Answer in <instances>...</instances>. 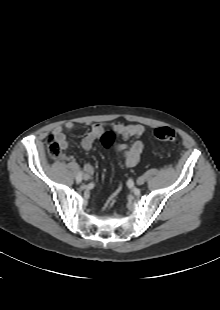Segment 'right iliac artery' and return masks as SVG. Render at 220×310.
Segmentation results:
<instances>
[{
  "mask_svg": "<svg viewBox=\"0 0 220 310\" xmlns=\"http://www.w3.org/2000/svg\"><path fill=\"white\" fill-rule=\"evenodd\" d=\"M82 176H83V173L82 171H80L76 177V181L77 183H80L82 181Z\"/></svg>",
  "mask_w": 220,
  "mask_h": 310,
  "instance_id": "82829eb1",
  "label": "right iliac artery"
}]
</instances>
